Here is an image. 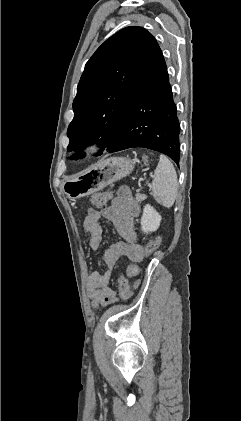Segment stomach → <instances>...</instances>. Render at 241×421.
Masks as SVG:
<instances>
[{
	"label": "stomach",
	"instance_id": "0dacf381",
	"mask_svg": "<svg viewBox=\"0 0 241 421\" xmlns=\"http://www.w3.org/2000/svg\"><path fill=\"white\" fill-rule=\"evenodd\" d=\"M134 162L125 157H112L99 161L82 174L67 178L62 185L68 198L76 200L127 176Z\"/></svg>",
	"mask_w": 241,
	"mask_h": 421
}]
</instances>
